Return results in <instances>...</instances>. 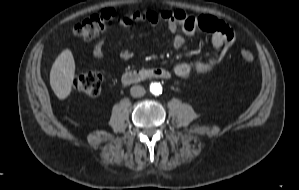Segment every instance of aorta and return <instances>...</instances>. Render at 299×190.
<instances>
[{"label": "aorta", "instance_id": "aorta-1", "mask_svg": "<svg viewBox=\"0 0 299 190\" xmlns=\"http://www.w3.org/2000/svg\"><path fill=\"white\" fill-rule=\"evenodd\" d=\"M150 92L154 95H159L162 93V86L160 83H151Z\"/></svg>", "mask_w": 299, "mask_h": 190}]
</instances>
